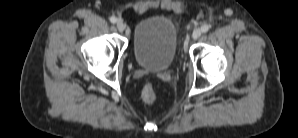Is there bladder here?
<instances>
[{"label": "bladder", "instance_id": "obj_1", "mask_svg": "<svg viewBox=\"0 0 298 138\" xmlns=\"http://www.w3.org/2000/svg\"><path fill=\"white\" fill-rule=\"evenodd\" d=\"M178 31L165 16H151L136 23L132 50L137 64L155 71L166 70L177 52Z\"/></svg>", "mask_w": 298, "mask_h": 138}]
</instances>
